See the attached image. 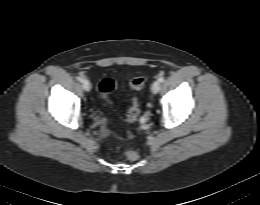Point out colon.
<instances>
[{"mask_svg":"<svg viewBox=\"0 0 260 205\" xmlns=\"http://www.w3.org/2000/svg\"><path fill=\"white\" fill-rule=\"evenodd\" d=\"M146 82H147L146 76H137L130 80L129 85L132 91H138L146 84ZM99 88L102 94L107 96L114 90L115 83L111 78H103L100 81ZM139 113H140L139 102L137 97L134 96L131 100V105L127 111L125 121L134 122L138 118ZM126 157L131 161H135L138 159L139 156L137 152L133 150H128L126 152Z\"/></svg>","mask_w":260,"mask_h":205,"instance_id":"5ec220e1","label":"colon"}]
</instances>
